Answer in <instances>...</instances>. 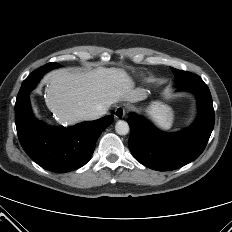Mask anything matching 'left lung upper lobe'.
<instances>
[{"instance_id":"1","label":"left lung upper lobe","mask_w":232,"mask_h":232,"mask_svg":"<svg viewBox=\"0 0 232 232\" xmlns=\"http://www.w3.org/2000/svg\"><path fill=\"white\" fill-rule=\"evenodd\" d=\"M172 70L175 74V82L177 87H180L181 85H184L186 83H190L197 77V75L187 71H182L174 68H172Z\"/></svg>"}]
</instances>
